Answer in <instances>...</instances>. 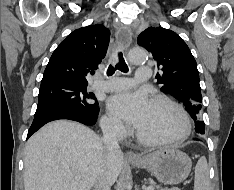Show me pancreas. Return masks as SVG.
I'll return each mask as SVG.
<instances>
[{
	"instance_id": "1",
	"label": "pancreas",
	"mask_w": 234,
	"mask_h": 190,
	"mask_svg": "<svg viewBox=\"0 0 234 190\" xmlns=\"http://www.w3.org/2000/svg\"><path fill=\"white\" fill-rule=\"evenodd\" d=\"M150 184L151 185H155L153 182H150ZM157 187V189H159V186H156ZM160 190H180L179 188H176V187H174V188H170V189H160Z\"/></svg>"
}]
</instances>
